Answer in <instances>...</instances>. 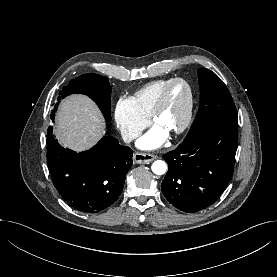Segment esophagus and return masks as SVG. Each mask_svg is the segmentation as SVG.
Returning <instances> with one entry per match:
<instances>
[{"label": "esophagus", "instance_id": "esophagus-1", "mask_svg": "<svg viewBox=\"0 0 277 277\" xmlns=\"http://www.w3.org/2000/svg\"><path fill=\"white\" fill-rule=\"evenodd\" d=\"M153 160H154V156L152 154L136 152L133 155V161L136 164H149Z\"/></svg>", "mask_w": 277, "mask_h": 277}]
</instances>
